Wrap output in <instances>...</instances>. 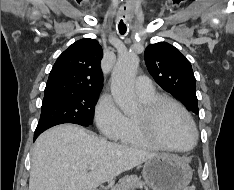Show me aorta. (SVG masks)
Instances as JSON below:
<instances>
[{
    "label": "aorta",
    "instance_id": "1",
    "mask_svg": "<svg viewBox=\"0 0 234 190\" xmlns=\"http://www.w3.org/2000/svg\"><path fill=\"white\" fill-rule=\"evenodd\" d=\"M138 63V57L135 54L121 55L112 72L111 92L116 104L125 114H132L138 105L134 92V78Z\"/></svg>",
    "mask_w": 234,
    "mask_h": 190
}]
</instances>
